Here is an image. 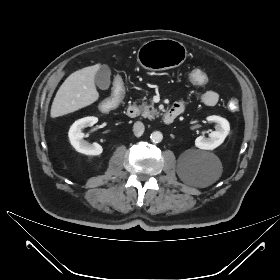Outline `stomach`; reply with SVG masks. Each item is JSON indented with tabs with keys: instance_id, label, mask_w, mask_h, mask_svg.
Instances as JSON below:
<instances>
[{
	"instance_id": "obj_1",
	"label": "stomach",
	"mask_w": 280,
	"mask_h": 280,
	"mask_svg": "<svg viewBox=\"0 0 280 280\" xmlns=\"http://www.w3.org/2000/svg\"><path fill=\"white\" fill-rule=\"evenodd\" d=\"M187 57L186 47L179 41L163 38L144 43L138 50L137 61L147 70H167L181 65Z\"/></svg>"
}]
</instances>
